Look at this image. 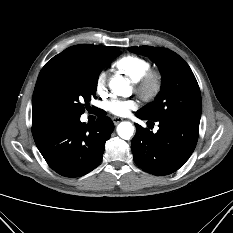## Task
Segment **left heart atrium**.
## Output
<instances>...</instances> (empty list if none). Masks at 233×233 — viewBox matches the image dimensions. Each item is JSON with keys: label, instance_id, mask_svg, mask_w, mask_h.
<instances>
[{"label": "left heart atrium", "instance_id": "1", "mask_svg": "<svg viewBox=\"0 0 233 233\" xmlns=\"http://www.w3.org/2000/svg\"><path fill=\"white\" fill-rule=\"evenodd\" d=\"M136 107L137 102L132 99L114 98L105 103V109L116 116H126Z\"/></svg>", "mask_w": 233, "mask_h": 233}]
</instances>
